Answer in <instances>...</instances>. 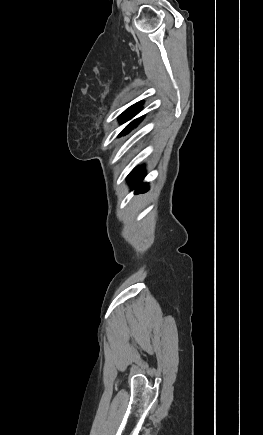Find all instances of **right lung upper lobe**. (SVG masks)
Segmentation results:
<instances>
[{
  "mask_svg": "<svg viewBox=\"0 0 263 435\" xmlns=\"http://www.w3.org/2000/svg\"><path fill=\"white\" fill-rule=\"evenodd\" d=\"M142 101H140V102H138V103H136L135 105H133V106H141L142 105Z\"/></svg>",
  "mask_w": 263,
  "mask_h": 435,
  "instance_id": "1",
  "label": "right lung upper lobe"
}]
</instances>
